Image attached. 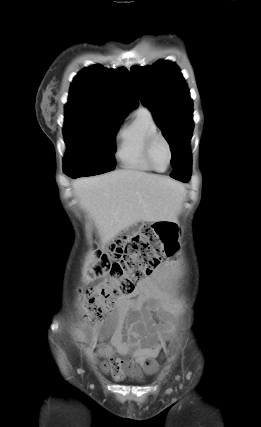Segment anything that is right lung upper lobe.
I'll list each match as a JSON object with an SVG mask.
<instances>
[{
	"mask_svg": "<svg viewBox=\"0 0 261 427\" xmlns=\"http://www.w3.org/2000/svg\"><path fill=\"white\" fill-rule=\"evenodd\" d=\"M139 102L125 68L102 66L83 69L74 78L65 113L89 112L124 118Z\"/></svg>",
	"mask_w": 261,
	"mask_h": 427,
	"instance_id": "cb5924a9",
	"label": "right lung upper lobe"
}]
</instances>
